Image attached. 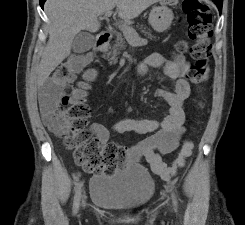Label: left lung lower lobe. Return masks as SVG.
I'll list each match as a JSON object with an SVG mask.
<instances>
[{
	"label": "left lung lower lobe",
	"mask_w": 245,
	"mask_h": 225,
	"mask_svg": "<svg viewBox=\"0 0 245 225\" xmlns=\"http://www.w3.org/2000/svg\"><path fill=\"white\" fill-rule=\"evenodd\" d=\"M216 5H217V7L219 9V12L221 13V11H222V4H216Z\"/></svg>",
	"instance_id": "1"
}]
</instances>
